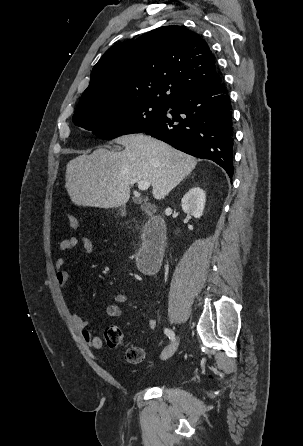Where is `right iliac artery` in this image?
<instances>
[{"instance_id": "right-iliac-artery-1", "label": "right iliac artery", "mask_w": 303, "mask_h": 446, "mask_svg": "<svg viewBox=\"0 0 303 446\" xmlns=\"http://www.w3.org/2000/svg\"><path fill=\"white\" fill-rule=\"evenodd\" d=\"M164 333L169 337V339L174 340L175 334L172 330L165 328Z\"/></svg>"}]
</instances>
